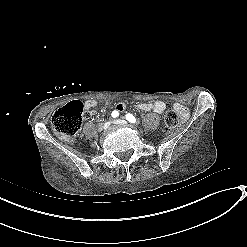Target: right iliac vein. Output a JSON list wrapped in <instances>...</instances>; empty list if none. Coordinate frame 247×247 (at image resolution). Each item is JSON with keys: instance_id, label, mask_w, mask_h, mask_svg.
<instances>
[{"instance_id": "right-iliac-vein-1", "label": "right iliac vein", "mask_w": 247, "mask_h": 247, "mask_svg": "<svg viewBox=\"0 0 247 247\" xmlns=\"http://www.w3.org/2000/svg\"><path fill=\"white\" fill-rule=\"evenodd\" d=\"M110 125H111V122L108 121V122L104 123L103 128L106 130L109 128Z\"/></svg>"}]
</instances>
